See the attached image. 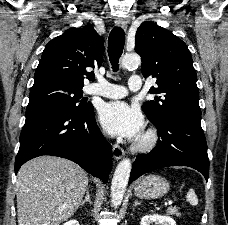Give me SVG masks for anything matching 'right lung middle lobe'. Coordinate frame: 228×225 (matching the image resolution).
Masks as SVG:
<instances>
[{"instance_id": "right-lung-middle-lobe-1", "label": "right lung middle lobe", "mask_w": 228, "mask_h": 225, "mask_svg": "<svg viewBox=\"0 0 228 225\" xmlns=\"http://www.w3.org/2000/svg\"><path fill=\"white\" fill-rule=\"evenodd\" d=\"M82 88L60 82H46L33 85L30 91L28 109L45 105H63L76 111H86L91 104L84 103Z\"/></svg>"}]
</instances>
